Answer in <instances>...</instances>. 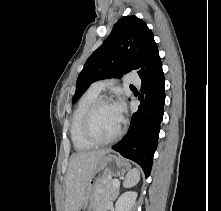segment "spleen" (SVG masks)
I'll return each instance as SVG.
<instances>
[{
	"label": "spleen",
	"instance_id": "spleen-1",
	"mask_svg": "<svg viewBox=\"0 0 221 211\" xmlns=\"http://www.w3.org/2000/svg\"><path fill=\"white\" fill-rule=\"evenodd\" d=\"M140 180V172L137 168L128 171L124 180V187L130 188L135 186Z\"/></svg>",
	"mask_w": 221,
	"mask_h": 211
}]
</instances>
